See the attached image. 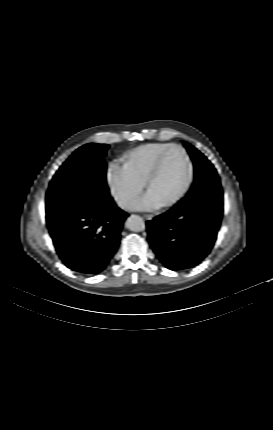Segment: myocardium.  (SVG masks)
Returning a JSON list of instances; mask_svg holds the SVG:
<instances>
[{
    "label": "myocardium",
    "instance_id": "1",
    "mask_svg": "<svg viewBox=\"0 0 273 430\" xmlns=\"http://www.w3.org/2000/svg\"><path fill=\"white\" fill-rule=\"evenodd\" d=\"M172 150H178L183 154V156L186 160L187 166H188V176H187V179H186L184 186L178 192V194L175 195L170 201L163 204V207H166V208L172 207V206L176 205L180 200H182V198L189 191V189L192 185V182H193V178H194L193 163H192V160H191L189 154L187 153V151L180 145L171 144L170 146L165 148L157 157L152 169L150 170V172H149V174L145 180V187L149 190L150 184L159 175V173L161 171L162 164H163V161H164L166 155Z\"/></svg>",
    "mask_w": 273,
    "mask_h": 430
}]
</instances>
